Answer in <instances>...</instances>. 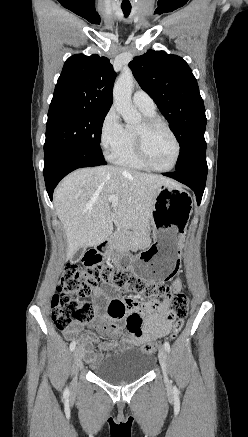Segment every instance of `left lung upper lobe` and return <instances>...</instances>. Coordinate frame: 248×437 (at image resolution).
I'll use <instances>...</instances> for the list:
<instances>
[{
	"mask_svg": "<svg viewBox=\"0 0 248 437\" xmlns=\"http://www.w3.org/2000/svg\"><path fill=\"white\" fill-rule=\"evenodd\" d=\"M141 88L168 120L180 145L176 169L206 151V116L197 81L187 62L164 51L149 50L129 63Z\"/></svg>",
	"mask_w": 248,
	"mask_h": 437,
	"instance_id": "5c2ea615",
	"label": "left lung upper lobe"
}]
</instances>
